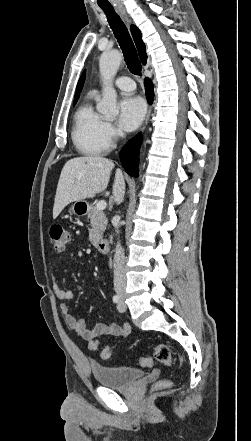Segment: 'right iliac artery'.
<instances>
[{
    "instance_id": "right-iliac-artery-1",
    "label": "right iliac artery",
    "mask_w": 251,
    "mask_h": 441,
    "mask_svg": "<svg viewBox=\"0 0 251 441\" xmlns=\"http://www.w3.org/2000/svg\"><path fill=\"white\" fill-rule=\"evenodd\" d=\"M113 302L114 303H118L119 302V296L118 295H114L113 296Z\"/></svg>"
}]
</instances>
